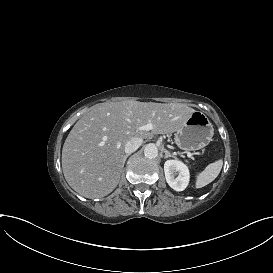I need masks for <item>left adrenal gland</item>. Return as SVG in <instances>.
I'll list each match as a JSON object with an SVG mask.
<instances>
[{
	"mask_svg": "<svg viewBox=\"0 0 273 273\" xmlns=\"http://www.w3.org/2000/svg\"><path fill=\"white\" fill-rule=\"evenodd\" d=\"M163 152L165 153L164 158L172 157L174 159H177V157L172 153H170L167 149H163Z\"/></svg>",
	"mask_w": 273,
	"mask_h": 273,
	"instance_id": "a2214340",
	"label": "left adrenal gland"
}]
</instances>
